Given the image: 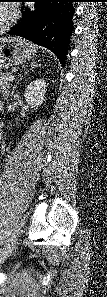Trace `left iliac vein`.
<instances>
[{
  "label": "left iliac vein",
  "mask_w": 107,
  "mask_h": 297,
  "mask_svg": "<svg viewBox=\"0 0 107 297\" xmlns=\"http://www.w3.org/2000/svg\"><path fill=\"white\" fill-rule=\"evenodd\" d=\"M15 244H16V240L15 239H12L11 240V243L8 244V246L6 247V250L9 252V251H12L13 248L15 247Z\"/></svg>",
  "instance_id": "left-iliac-vein-1"
}]
</instances>
